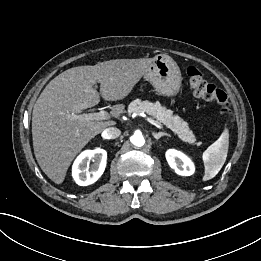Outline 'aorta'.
Masks as SVG:
<instances>
[{
  "label": "aorta",
  "mask_w": 261,
  "mask_h": 261,
  "mask_svg": "<svg viewBox=\"0 0 261 261\" xmlns=\"http://www.w3.org/2000/svg\"><path fill=\"white\" fill-rule=\"evenodd\" d=\"M131 143L137 147H141L144 145L145 140L144 137L142 136V134L139 133H135L132 137H131Z\"/></svg>",
  "instance_id": "aorta-1"
}]
</instances>
